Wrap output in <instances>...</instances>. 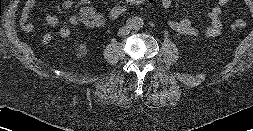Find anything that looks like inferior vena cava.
Here are the masks:
<instances>
[{
	"instance_id": "inferior-vena-cava-1",
	"label": "inferior vena cava",
	"mask_w": 253,
	"mask_h": 131,
	"mask_svg": "<svg viewBox=\"0 0 253 131\" xmlns=\"http://www.w3.org/2000/svg\"><path fill=\"white\" fill-rule=\"evenodd\" d=\"M129 32H130V29L128 27H123V28L119 29L118 35L120 37H124V36L128 35Z\"/></svg>"
}]
</instances>
